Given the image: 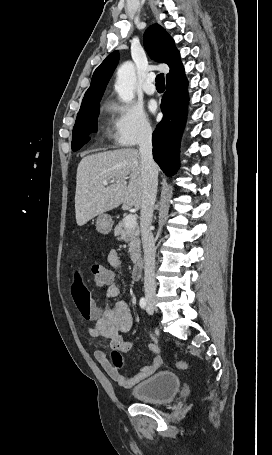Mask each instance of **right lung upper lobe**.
Listing matches in <instances>:
<instances>
[{
    "instance_id": "1",
    "label": "right lung upper lobe",
    "mask_w": 272,
    "mask_h": 455,
    "mask_svg": "<svg viewBox=\"0 0 272 455\" xmlns=\"http://www.w3.org/2000/svg\"><path fill=\"white\" fill-rule=\"evenodd\" d=\"M143 42L150 57L158 62L166 63L170 71L166 79H173L184 73V67L180 61V53L174 45V40L159 24H153L144 33ZM119 60L118 51L112 52L105 58L102 64L94 71L91 85L86 91L81 109L99 104L106 85L110 80Z\"/></svg>"
}]
</instances>
